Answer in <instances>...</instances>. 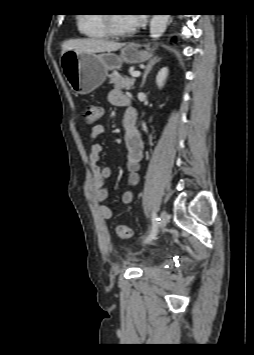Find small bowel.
<instances>
[{
	"label": "small bowel",
	"instance_id": "c3829d8e",
	"mask_svg": "<svg viewBox=\"0 0 254 355\" xmlns=\"http://www.w3.org/2000/svg\"><path fill=\"white\" fill-rule=\"evenodd\" d=\"M109 102L114 106L125 107V113L123 117V125L125 128V146L127 149L126 166L128 170V184L130 187H134L139 183V169L140 162L143 158L144 141L140 132L134 127L128 130L125 127V123L129 119H134L136 122L137 111L131 105L129 98L123 94L119 89H114L109 94ZM105 133V127L103 125L94 126L89 134L90 139V152L89 162L90 170L92 173L91 179V191L94 199L99 205L101 217L105 220L112 218L111 209L105 205V201L108 197V192L104 187V182L112 175V169L109 166H100L98 161L100 159L101 152L103 150L102 144L98 141V138ZM133 200V193L131 190H127L122 194V202L124 204H130Z\"/></svg>",
	"mask_w": 254,
	"mask_h": 355
}]
</instances>
